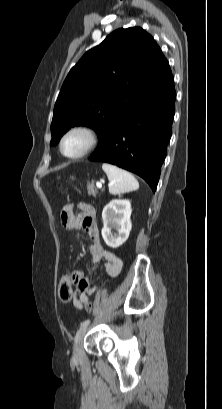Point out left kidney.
Returning <instances> with one entry per match:
<instances>
[{"instance_id": "left-kidney-1", "label": "left kidney", "mask_w": 222, "mask_h": 409, "mask_svg": "<svg viewBox=\"0 0 222 409\" xmlns=\"http://www.w3.org/2000/svg\"><path fill=\"white\" fill-rule=\"evenodd\" d=\"M131 203L129 200L114 199L111 200L103 209L102 220L103 228L101 230L105 243L111 248L121 246L129 237L132 228ZM117 233H112V230Z\"/></svg>"}]
</instances>
